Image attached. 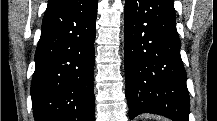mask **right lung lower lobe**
I'll return each instance as SVG.
<instances>
[{
	"label": "right lung lower lobe",
	"instance_id": "right-lung-lower-lobe-1",
	"mask_svg": "<svg viewBox=\"0 0 217 121\" xmlns=\"http://www.w3.org/2000/svg\"><path fill=\"white\" fill-rule=\"evenodd\" d=\"M97 0L48 4L35 53V121H94Z\"/></svg>",
	"mask_w": 217,
	"mask_h": 121
}]
</instances>
